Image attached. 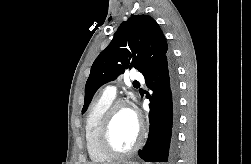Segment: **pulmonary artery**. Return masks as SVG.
Instances as JSON below:
<instances>
[{"instance_id": "1", "label": "pulmonary artery", "mask_w": 251, "mask_h": 164, "mask_svg": "<svg viewBox=\"0 0 251 164\" xmlns=\"http://www.w3.org/2000/svg\"><path fill=\"white\" fill-rule=\"evenodd\" d=\"M131 79L142 81L143 80V76L139 72L134 71V72L131 73ZM103 94L106 95V96L114 98L115 95H116V88L114 86H107L105 88Z\"/></svg>"}]
</instances>
